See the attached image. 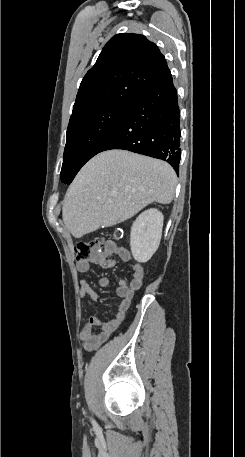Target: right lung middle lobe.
I'll use <instances>...</instances> for the list:
<instances>
[{
  "instance_id": "right-lung-middle-lobe-1",
  "label": "right lung middle lobe",
  "mask_w": 245,
  "mask_h": 457,
  "mask_svg": "<svg viewBox=\"0 0 245 457\" xmlns=\"http://www.w3.org/2000/svg\"><path fill=\"white\" fill-rule=\"evenodd\" d=\"M132 103L112 102L70 118L61 180L70 184L80 168L110 139Z\"/></svg>"
}]
</instances>
